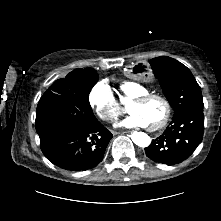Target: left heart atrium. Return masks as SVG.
I'll return each mask as SVG.
<instances>
[{"label":"left heart atrium","instance_id":"39dd6f15","mask_svg":"<svg viewBox=\"0 0 221 221\" xmlns=\"http://www.w3.org/2000/svg\"><path fill=\"white\" fill-rule=\"evenodd\" d=\"M120 125L125 126V127H146L147 126L145 120L138 114H131L126 119H124L120 123Z\"/></svg>","mask_w":221,"mask_h":221}]
</instances>
